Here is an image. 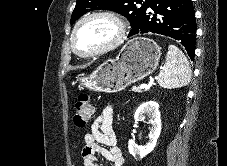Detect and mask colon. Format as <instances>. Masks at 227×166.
I'll return each mask as SVG.
<instances>
[{
	"mask_svg": "<svg viewBox=\"0 0 227 166\" xmlns=\"http://www.w3.org/2000/svg\"><path fill=\"white\" fill-rule=\"evenodd\" d=\"M94 113L93 103L87 93L79 94L74 105V123L77 127H84Z\"/></svg>",
	"mask_w": 227,
	"mask_h": 166,
	"instance_id": "1",
	"label": "colon"
}]
</instances>
